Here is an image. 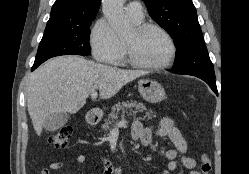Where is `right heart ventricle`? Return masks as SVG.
Listing matches in <instances>:
<instances>
[{
    "label": "right heart ventricle",
    "mask_w": 249,
    "mask_h": 174,
    "mask_svg": "<svg viewBox=\"0 0 249 174\" xmlns=\"http://www.w3.org/2000/svg\"><path fill=\"white\" fill-rule=\"evenodd\" d=\"M133 20V19H132ZM133 22L135 23V24H140L141 22H142V20H138V21H136V20H133Z\"/></svg>",
    "instance_id": "right-heart-ventricle-1"
}]
</instances>
